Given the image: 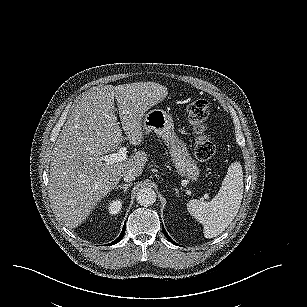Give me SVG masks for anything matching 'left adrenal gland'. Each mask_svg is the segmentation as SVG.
Returning a JSON list of instances; mask_svg holds the SVG:
<instances>
[{
  "instance_id": "a2214340",
  "label": "left adrenal gland",
  "mask_w": 307,
  "mask_h": 307,
  "mask_svg": "<svg viewBox=\"0 0 307 307\" xmlns=\"http://www.w3.org/2000/svg\"><path fill=\"white\" fill-rule=\"evenodd\" d=\"M175 194L176 196H179V190L177 188H175Z\"/></svg>"
}]
</instances>
